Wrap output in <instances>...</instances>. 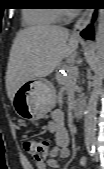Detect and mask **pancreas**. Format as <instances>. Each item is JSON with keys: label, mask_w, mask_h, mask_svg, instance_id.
<instances>
[{"label": "pancreas", "mask_w": 104, "mask_h": 169, "mask_svg": "<svg viewBox=\"0 0 104 169\" xmlns=\"http://www.w3.org/2000/svg\"><path fill=\"white\" fill-rule=\"evenodd\" d=\"M71 67H73V66H72V65H67V66H65V69H66L68 72H70V68H71ZM74 77H77V76H74ZM65 80H66L65 77H63L62 75L58 74V81H59V82H63V81H65ZM77 92L80 93V89H77Z\"/></svg>", "instance_id": "cf45deb5"}]
</instances>
